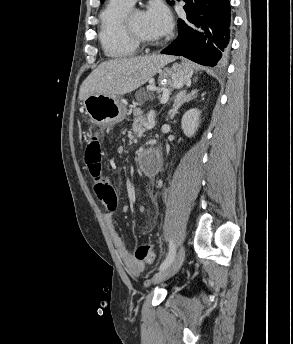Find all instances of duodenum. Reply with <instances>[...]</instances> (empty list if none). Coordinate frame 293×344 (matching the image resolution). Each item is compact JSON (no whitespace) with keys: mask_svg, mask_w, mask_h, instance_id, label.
Returning a JSON list of instances; mask_svg holds the SVG:
<instances>
[{"mask_svg":"<svg viewBox=\"0 0 293 344\" xmlns=\"http://www.w3.org/2000/svg\"><path fill=\"white\" fill-rule=\"evenodd\" d=\"M157 155H158V158L156 160L155 165H156V169H160L162 166V157L159 150H157ZM147 160H148V157L146 156L145 152L139 153L136 156V162L138 166H144Z\"/></svg>","mask_w":293,"mask_h":344,"instance_id":"duodenum-1","label":"duodenum"}]
</instances>
